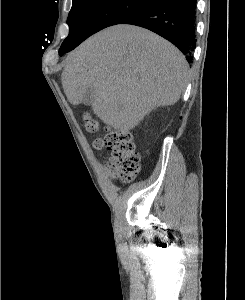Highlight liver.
I'll return each instance as SVG.
<instances>
[{"label": "liver", "instance_id": "6515ba94", "mask_svg": "<svg viewBox=\"0 0 245 300\" xmlns=\"http://www.w3.org/2000/svg\"><path fill=\"white\" fill-rule=\"evenodd\" d=\"M188 82L182 53L157 34L118 24L72 51L62 72L68 101L79 105L89 88L90 104L105 124L126 134L158 107L175 104Z\"/></svg>", "mask_w": 245, "mask_h": 300}]
</instances>
